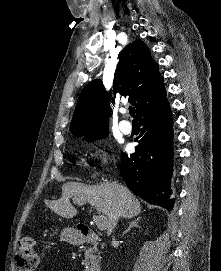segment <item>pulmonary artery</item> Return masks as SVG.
Returning a JSON list of instances; mask_svg holds the SVG:
<instances>
[{
    "instance_id": "1",
    "label": "pulmonary artery",
    "mask_w": 221,
    "mask_h": 271,
    "mask_svg": "<svg viewBox=\"0 0 221 271\" xmlns=\"http://www.w3.org/2000/svg\"><path fill=\"white\" fill-rule=\"evenodd\" d=\"M123 118H125L123 116ZM117 125L120 126V129L122 130V132L127 135L131 132V128L130 127H125L127 125V122L126 121H118L117 122Z\"/></svg>"
}]
</instances>
